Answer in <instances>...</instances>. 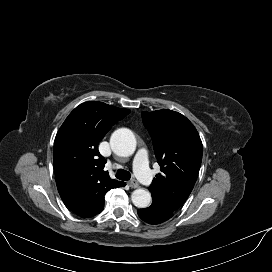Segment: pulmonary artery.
Segmentation results:
<instances>
[{"mask_svg": "<svg viewBox=\"0 0 272 272\" xmlns=\"http://www.w3.org/2000/svg\"><path fill=\"white\" fill-rule=\"evenodd\" d=\"M134 167L137 177L145 184L152 183V176L148 168L147 151L141 148L137 151L134 158Z\"/></svg>", "mask_w": 272, "mask_h": 272, "instance_id": "obj_1", "label": "pulmonary artery"}]
</instances>
